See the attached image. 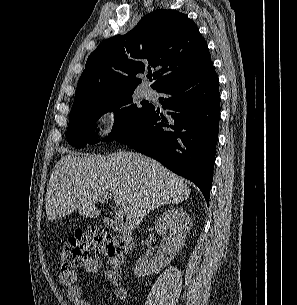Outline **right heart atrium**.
<instances>
[{"instance_id": "d8ad5b80", "label": "right heart atrium", "mask_w": 297, "mask_h": 305, "mask_svg": "<svg viewBox=\"0 0 297 305\" xmlns=\"http://www.w3.org/2000/svg\"><path fill=\"white\" fill-rule=\"evenodd\" d=\"M100 134L104 139L116 137L121 127V110L116 104L103 107L97 117Z\"/></svg>"}]
</instances>
